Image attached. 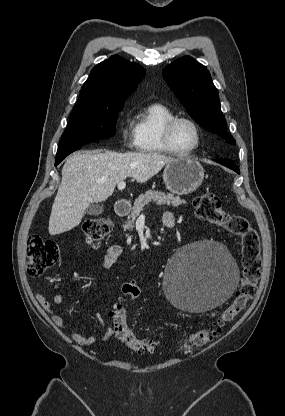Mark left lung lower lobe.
<instances>
[{
	"mask_svg": "<svg viewBox=\"0 0 285 416\" xmlns=\"http://www.w3.org/2000/svg\"><path fill=\"white\" fill-rule=\"evenodd\" d=\"M215 161L218 162V163H220V164H222V165H224V166H226V167H228V168H230V169H232V170H234L238 174H240L239 168L236 166V164L233 161H231V160H223V159H217Z\"/></svg>",
	"mask_w": 285,
	"mask_h": 416,
	"instance_id": "left-lung-lower-lobe-1",
	"label": "left lung lower lobe"
}]
</instances>
